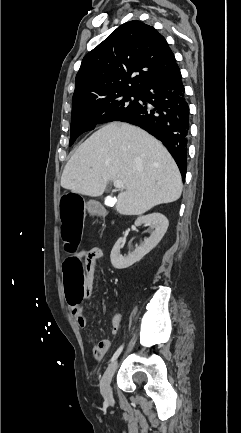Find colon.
Wrapping results in <instances>:
<instances>
[{
	"label": "colon",
	"mask_w": 241,
	"mask_h": 433,
	"mask_svg": "<svg viewBox=\"0 0 241 433\" xmlns=\"http://www.w3.org/2000/svg\"><path fill=\"white\" fill-rule=\"evenodd\" d=\"M81 192H60L59 199L61 225V241L65 255L71 258H62L61 288L65 297V305H80L85 295V272L81 261L72 257L76 247L81 243L86 228V221L82 220V214L88 213V201L81 200ZM90 214H106V205H98L93 201L89 207Z\"/></svg>",
	"instance_id": "1"
}]
</instances>
